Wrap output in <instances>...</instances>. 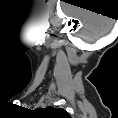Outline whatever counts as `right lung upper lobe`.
I'll return each mask as SVG.
<instances>
[{
  "mask_svg": "<svg viewBox=\"0 0 118 118\" xmlns=\"http://www.w3.org/2000/svg\"><path fill=\"white\" fill-rule=\"evenodd\" d=\"M47 111L50 112V113H65L64 110H62V109H55L53 107H48Z\"/></svg>",
  "mask_w": 118,
  "mask_h": 118,
  "instance_id": "1",
  "label": "right lung upper lobe"
}]
</instances>
